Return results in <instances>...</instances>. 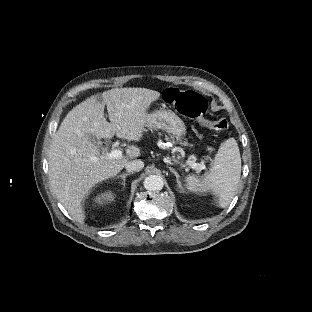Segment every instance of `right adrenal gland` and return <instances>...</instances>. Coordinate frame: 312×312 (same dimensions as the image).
<instances>
[{"mask_svg":"<svg viewBox=\"0 0 312 312\" xmlns=\"http://www.w3.org/2000/svg\"><path fill=\"white\" fill-rule=\"evenodd\" d=\"M131 173H125V174H121V175H119V176H117V178H122L123 179V182H122V185L123 186H125V180H126V177L128 176V175H130Z\"/></svg>","mask_w":312,"mask_h":312,"instance_id":"1","label":"right adrenal gland"}]
</instances>
